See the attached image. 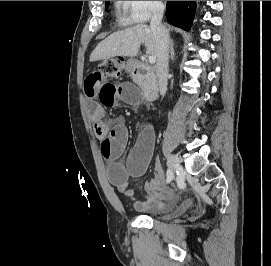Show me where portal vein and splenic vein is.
I'll list each match as a JSON object with an SVG mask.
<instances>
[{
    "label": "portal vein and splenic vein",
    "mask_w": 271,
    "mask_h": 266,
    "mask_svg": "<svg viewBox=\"0 0 271 266\" xmlns=\"http://www.w3.org/2000/svg\"><path fill=\"white\" fill-rule=\"evenodd\" d=\"M148 60L150 64H154L156 62V57L151 55L149 56Z\"/></svg>",
    "instance_id": "18ae733b"
}]
</instances>
